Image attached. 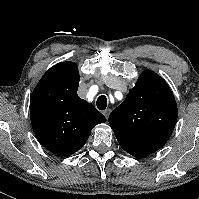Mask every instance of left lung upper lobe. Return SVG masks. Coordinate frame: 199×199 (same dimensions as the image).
Segmentation results:
<instances>
[{
    "label": "left lung upper lobe",
    "mask_w": 199,
    "mask_h": 199,
    "mask_svg": "<svg viewBox=\"0 0 199 199\" xmlns=\"http://www.w3.org/2000/svg\"><path fill=\"white\" fill-rule=\"evenodd\" d=\"M178 109L172 91L163 78L146 70L130 89L126 99L109 116L112 130L165 144L177 122Z\"/></svg>",
    "instance_id": "5c2ea615"
}]
</instances>
